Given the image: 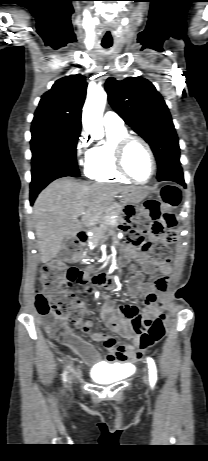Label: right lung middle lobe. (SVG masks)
<instances>
[{"mask_svg": "<svg viewBox=\"0 0 208 461\" xmlns=\"http://www.w3.org/2000/svg\"><path fill=\"white\" fill-rule=\"evenodd\" d=\"M81 129L51 119H33L31 127L32 178L51 169L79 176L76 145Z\"/></svg>", "mask_w": 208, "mask_h": 461, "instance_id": "right-lung-middle-lobe-1", "label": "right lung middle lobe"}]
</instances>
